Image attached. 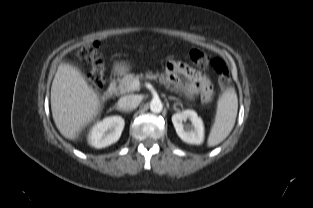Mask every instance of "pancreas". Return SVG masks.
I'll return each instance as SVG.
<instances>
[{"label": "pancreas", "mask_w": 313, "mask_h": 208, "mask_svg": "<svg viewBox=\"0 0 313 208\" xmlns=\"http://www.w3.org/2000/svg\"><path fill=\"white\" fill-rule=\"evenodd\" d=\"M146 78L148 79H157L159 78V81L161 83H165L164 77L159 76V74L153 75L152 73H149L146 75ZM140 76L134 75V74H126L122 79L119 80V85L115 91L116 95H122L125 93L133 92V91H139L140 87L133 86V82L135 80H139Z\"/></svg>", "instance_id": "1"}]
</instances>
